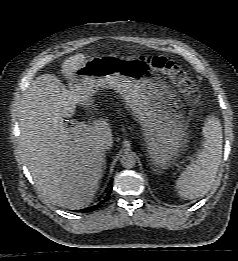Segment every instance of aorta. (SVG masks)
I'll use <instances>...</instances> for the list:
<instances>
[{"instance_id":"1","label":"aorta","mask_w":238,"mask_h":261,"mask_svg":"<svg viewBox=\"0 0 238 261\" xmlns=\"http://www.w3.org/2000/svg\"><path fill=\"white\" fill-rule=\"evenodd\" d=\"M120 163L122 167L130 169L136 165V158L133 154L127 153L122 155Z\"/></svg>"}]
</instances>
